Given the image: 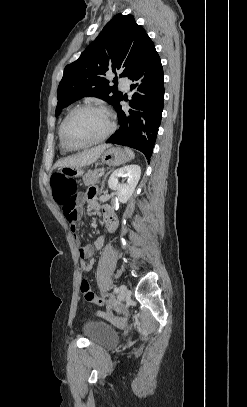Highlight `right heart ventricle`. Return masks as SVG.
Returning a JSON list of instances; mask_svg holds the SVG:
<instances>
[{"instance_id": "obj_1", "label": "right heart ventricle", "mask_w": 247, "mask_h": 407, "mask_svg": "<svg viewBox=\"0 0 247 407\" xmlns=\"http://www.w3.org/2000/svg\"><path fill=\"white\" fill-rule=\"evenodd\" d=\"M60 128H61V124H60L59 127H58V139H59L60 151H61L62 153H68L70 150H68V149H66V148L64 147V145L62 144L61 139H60Z\"/></svg>"}]
</instances>
